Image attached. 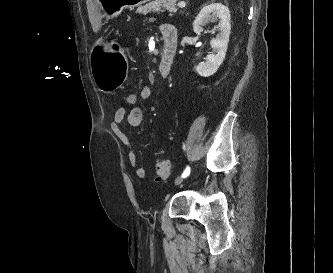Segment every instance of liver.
Segmentation results:
<instances>
[{
    "mask_svg": "<svg viewBox=\"0 0 333 273\" xmlns=\"http://www.w3.org/2000/svg\"><path fill=\"white\" fill-rule=\"evenodd\" d=\"M89 21L94 32H98L102 26V13L100 0H86Z\"/></svg>",
    "mask_w": 333,
    "mask_h": 273,
    "instance_id": "obj_1",
    "label": "liver"
}]
</instances>
